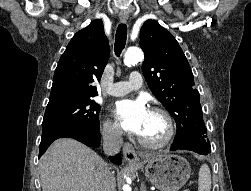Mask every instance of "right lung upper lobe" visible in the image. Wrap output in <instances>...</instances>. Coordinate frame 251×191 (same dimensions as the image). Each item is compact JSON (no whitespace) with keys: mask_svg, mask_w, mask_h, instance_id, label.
Here are the masks:
<instances>
[{"mask_svg":"<svg viewBox=\"0 0 251 191\" xmlns=\"http://www.w3.org/2000/svg\"><path fill=\"white\" fill-rule=\"evenodd\" d=\"M109 55L101 20L77 32L58 62L47 107L97 96V88L91 84L101 79Z\"/></svg>","mask_w":251,"mask_h":191,"instance_id":"cb5924a9","label":"right lung upper lobe"}]
</instances>
